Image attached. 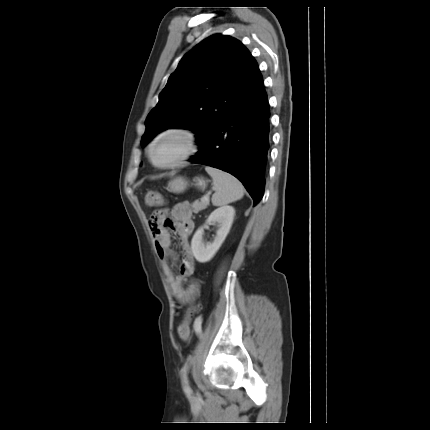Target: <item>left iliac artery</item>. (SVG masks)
<instances>
[{
	"label": "left iliac artery",
	"instance_id": "obj_1",
	"mask_svg": "<svg viewBox=\"0 0 430 430\" xmlns=\"http://www.w3.org/2000/svg\"><path fill=\"white\" fill-rule=\"evenodd\" d=\"M197 321L194 323V332L197 334V335H201L203 332H204V329H203V323L201 322L202 321V316H197ZM188 368H189V363L188 362H186L185 363V365L182 367V369H181V377H182V381H183V383H185V384H187L188 383V377H187V373H188Z\"/></svg>",
	"mask_w": 430,
	"mask_h": 430
}]
</instances>
